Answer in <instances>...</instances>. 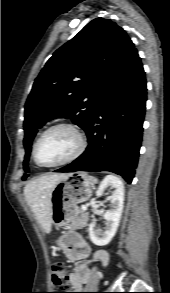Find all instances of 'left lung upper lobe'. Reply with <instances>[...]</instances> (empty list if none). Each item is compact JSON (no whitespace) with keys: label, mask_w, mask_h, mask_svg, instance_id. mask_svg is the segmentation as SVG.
<instances>
[{"label":"left lung upper lobe","mask_w":170,"mask_h":293,"mask_svg":"<svg viewBox=\"0 0 170 293\" xmlns=\"http://www.w3.org/2000/svg\"><path fill=\"white\" fill-rule=\"evenodd\" d=\"M134 44L109 19L96 18L60 47L36 78L25 105L24 170L37 130L57 117L85 130L110 81ZM28 174L23 176V180Z\"/></svg>","instance_id":"1"}]
</instances>
